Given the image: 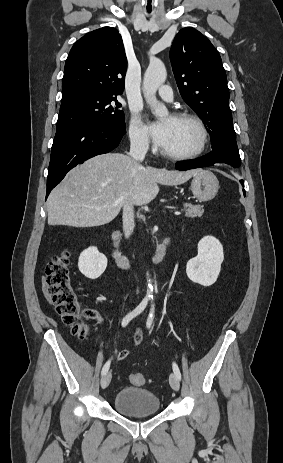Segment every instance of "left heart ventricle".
<instances>
[{
    "instance_id": "left-heart-ventricle-1",
    "label": "left heart ventricle",
    "mask_w": 283,
    "mask_h": 463,
    "mask_svg": "<svg viewBox=\"0 0 283 463\" xmlns=\"http://www.w3.org/2000/svg\"><path fill=\"white\" fill-rule=\"evenodd\" d=\"M164 121L167 122L169 128L166 142L161 147L162 150L173 154H182L197 148L200 135L192 122L172 118H167Z\"/></svg>"
}]
</instances>
